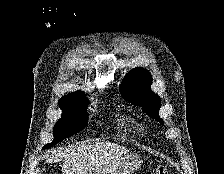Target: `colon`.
Masks as SVG:
<instances>
[{"mask_svg":"<svg viewBox=\"0 0 224 174\" xmlns=\"http://www.w3.org/2000/svg\"><path fill=\"white\" fill-rule=\"evenodd\" d=\"M155 174H170L168 169L165 168V167H159L157 170H156V173Z\"/></svg>","mask_w":224,"mask_h":174,"instance_id":"obj_1","label":"colon"}]
</instances>
